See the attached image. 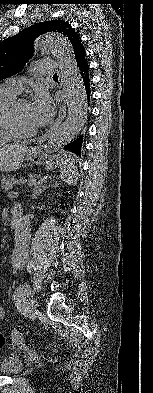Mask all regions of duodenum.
I'll return each mask as SVG.
<instances>
[{
  "mask_svg": "<svg viewBox=\"0 0 153 393\" xmlns=\"http://www.w3.org/2000/svg\"><path fill=\"white\" fill-rule=\"evenodd\" d=\"M20 218H21V214L18 211H14L12 213L10 227L17 228L20 224Z\"/></svg>",
  "mask_w": 153,
  "mask_h": 393,
  "instance_id": "410a0bca",
  "label": "duodenum"
}]
</instances>
